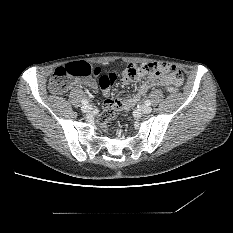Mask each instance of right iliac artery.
Masks as SVG:
<instances>
[{
	"instance_id": "1",
	"label": "right iliac artery",
	"mask_w": 233,
	"mask_h": 233,
	"mask_svg": "<svg viewBox=\"0 0 233 233\" xmlns=\"http://www.w3.org/2000/svg\"><path fill=\"white\" fill-rule=\"evenodd\" d=\"M89 102H88V100L87 99H83L82 100V105H87Z\"/></svg>"
}]
</instances>
